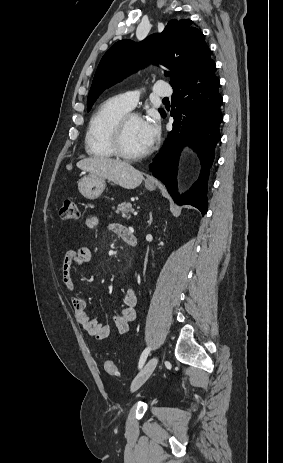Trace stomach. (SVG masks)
Returning <instances> with one entry per match:
<instances>
[{
	"label": "stomach",
	"instance_id": "stomach-1",
	"mask_svg": "<svg viewBox=\"0 0 283 463\" xmlns=\"http://www.w3.org/2000/svg\"><path fill=\"white\" fill-rule=\"evenodd\" d=\"M105 179L96 175H88L80 179L78 182L79 192L87 199H97L105 189ZM145 187L149 191H154L157 184L154 182H145Z\"/></svg>",
	"mask_w": 283,
	"mask_h": 463
}]
</instances>
